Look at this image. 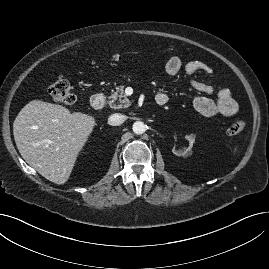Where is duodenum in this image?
<instances>
[{
	"label": "duodenum",
	"mask_w": 269,
	"mask_h": 269,
	"mask_svg": "<svg viewBox=\"0 0 269 269\" xmlns=\"http://www.w3.org/2000/svg\"><path fill=\"white\" fill-rule=\"evenodd\" d=\"M156 102L159 106H164L167 103V98L164 95H160L157 97ZM106 104V97L102 93H95L91 97V106L95 110H101L104 108Z\"/></svg>",
	"instance_id": "1"
}]
</instances>
